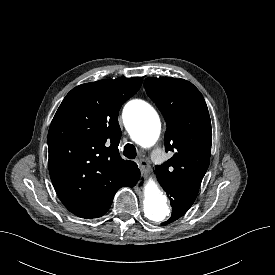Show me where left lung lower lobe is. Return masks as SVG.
<instances>
[{
  "instance_id": "0a47b994",
  "label": "left lung lower lobe",
  "mask_w": 275,
  "mask_h": 275,
  "mask_svg": "<svg viewBox=\"0 0 275 275\" xmlns=\"http://www.w3.org/2000/svg\"><path fill=\"white\" fill-rule=\"evenodd\" d=\"M156 176L159 183L167 193V196L170 199V203L172 206V215L170 219L167 222L162 223L168 224L177 220L189 210V208L194 203L199 190L188 187L176 186L168 183L162 177L158 175Z\"/></svg>"
}]
</instances>
